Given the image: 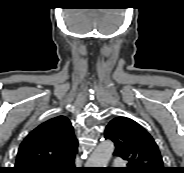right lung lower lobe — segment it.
I'll use <instances>...</instances> for the list:
<instances>
[{
	"label": "right lung lower lobe",
	"instance_id": "obj_1",
	"mask_svg": "<svg viewBox=\"0 0 184 173\" xmlns=\"http://www.w3.org/2000/svg\"><path fill=\"white\" fill-rule=\"evenodd\" d=\"M75 158L72 160L66 161L59 166L40 173H81L82 171L74 166Z\"/></svg>",
	"mask_w": 184,
	"mask_h": 173
}]
</instances>
